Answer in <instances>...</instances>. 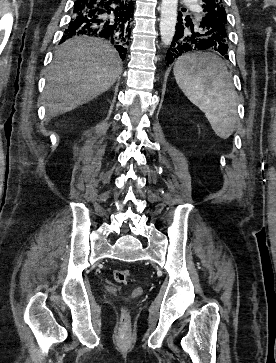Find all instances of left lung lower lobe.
<instances>
[{"label": "left lung lower lobe", "instance_id": "obj_1", "mask_svg": "<svg viewBox=\"0 0 276 363\" xmlns=\"http://www.w3.org/2000/svg\"><path fill=\"white\" fill-rule=\"evenodd\" d=\"M182 14H178V23L173 41L166 53V66H169L177 58L198 50H213L224 55L228 59V45L220 36V25L205 14L196 22L192 23L189 17L182 21Z\"/></svg>", "mask_w": 276, "mask_h": 363}]
</instances>
